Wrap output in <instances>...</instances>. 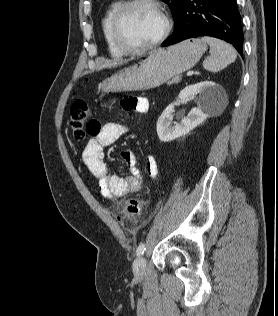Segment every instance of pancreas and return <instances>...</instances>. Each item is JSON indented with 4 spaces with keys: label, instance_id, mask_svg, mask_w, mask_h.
I'll return each mask as SVG.
<instances>
[{
    "label": "pancreas",
    "instance_id": "pancreas-1",
    "mask_svg": "<svg viewBox=\"0 0 278 316\" xmlns=\"http://www.w3.org/2000/svg\"><path fill=\"white\" fill-rule=\"evenodd\" d=\"M180 81H181V75H176L168 83L174 84V83H179Z\"/></svg>",
    "mask_w": 278,
    "mask_h": 316
}]
</instances>
